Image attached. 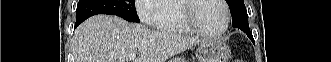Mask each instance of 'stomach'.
<instances>
[{"mask_svg": "<svg viewBox=\"0 0 331 62\" xmlns=\"http://www.w3.org/2000/svg\"><path fill=\"white\" fill-rule=\"evenodd\" d=\"M230 54V48L218 40L203 41L196 51L198 62H228Z\"/></svg>", "mask_w": 331, "mask_h": 62, "instance_id": "obj_1", "label": "stomach"}]
</instances>
